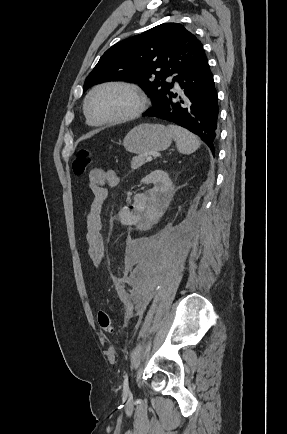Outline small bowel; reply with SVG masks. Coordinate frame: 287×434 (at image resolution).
Returning a JSON list of instances; mask_svg holds the SVG:
<instances>
[{
  "instance_id": "small-bowel-1",
  "label": "small bowel",
  "mask_w": 287,
  "mask_h": 434,
  "mask_svg": "<svg viewBox=\"0 0 287 434\" xmlns=\"http://www.w3.org/2000/svg\"><path fill=\"white\" fill-rule=\"evenodd\" d=\"M118 183V173L113 169L94 168L88 175L93 198L86 215L85 245L88 256L96 266L102 262L105 252L102 209L108 195L107 187H114Z\"/></svg>"
}]
</instances>
